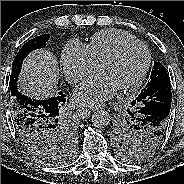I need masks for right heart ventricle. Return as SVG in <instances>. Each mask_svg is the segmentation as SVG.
<instances>
[{
    "label": "right heart ventricle",
    "instance_id": "right-heart-ventricle-1",
    "mask_svg": "<svg viewBox=\"0 0 184 184\" xmlns=\"http://www.w3.org/2000/svg\"><path fill=\"white\" fill-rule=\"evenodd\" d=\"M137 40L134 36L121 30H103L94 34L88 46L90 55L96 64L122 43Z\"/></svg>",
    "mask_w": 184,
    "mask_h": 184
}]
</instances>
